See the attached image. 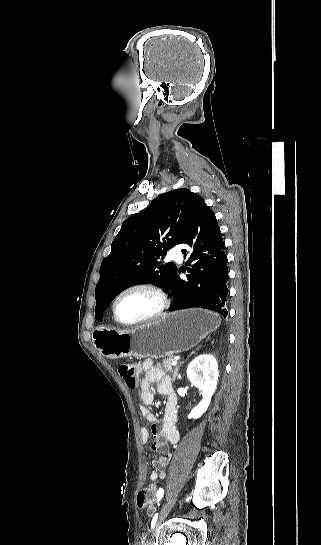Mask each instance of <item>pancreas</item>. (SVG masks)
<instances>
[{"instance_id": "1", "label": "pancreas", "mask_w": 321, "mask_h": 545, "mask_svg": "<svg viewBox=\"0 0 321 545\" xmlns=\"http://www.w3.org/2000/svg\"><path fill=\"white\" fill-rule=\"evenodd\" d=\"M173 361H175V359H172V357H170V359H163L162 363H157V365L158 367H163L165 371H169V373H172L174 377L176 369L174 371L173 367H175V365H172Z\"/></svg>"}]
</instances>
